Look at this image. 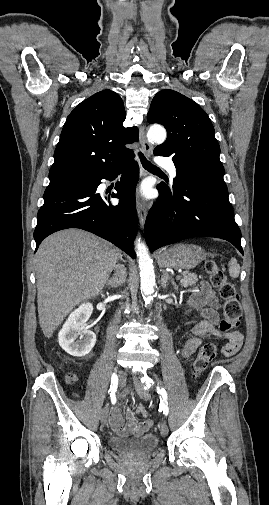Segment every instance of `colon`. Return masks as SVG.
Instances as JSON below:
<instances>
[{
	"label": "colon",
	"mask_w": 269,
	"mask_h": 505,
	"mask_svg": "<svg viewBox=\"0 0 269 505\" xmlns=\"http://www.w3.org/2000/svg\"><path fill=\"white\" fill-rule=\"evenodd\" d=\"M206 269L209 274L211 284L218 289L221 299L224 301L223 318L219 324L221 333H229L240 325L243 317L242 306L236 291V287L230 281L223 269L218 266L215 261H208ZM218 347L215 343L209 342L201 346L196 358L193 362L192 376L194 379L199 378L207 369L208 364L217 354ZM69 381H74L73 374L68 375ZM141 416H146L147 412L143 405H139L136 409Z\"/></svg>",
	"instance_id": "colon-1"
}]
</instances>
